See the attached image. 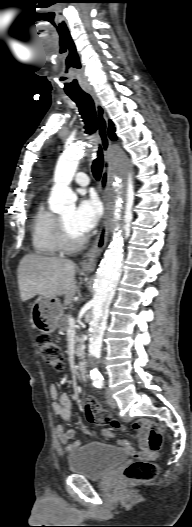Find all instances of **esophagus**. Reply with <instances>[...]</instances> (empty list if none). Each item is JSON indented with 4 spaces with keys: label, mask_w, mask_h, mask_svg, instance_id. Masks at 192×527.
Returning a JSON list of instances; mask_svg holds the SVG:
<instances>
[{
    "label": "esophagus",
    "mask_w": 192,
    "mask_h": 527,
    "mask_svg": "<svg viewBox=\"0 0 192 527\" xmlns=\"http://www.w3.org/2000/svg\"><path fill=\"white\" fill-rule=\"evenodd\" d=\"M88 94L95 103L98 123V135L104 152L103 171L100 182V192L104 203V216L100 231L91 248L84 254L80 265L84 271H93L97 259L106 246L109 235V179L111 171V140L108 136V122L106 113L94 91L89 90Z\"/></svg>",
    "instance_id": "34e87169"
}]
</instances>
